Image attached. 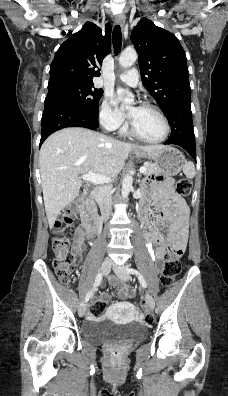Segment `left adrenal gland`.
Returning <instances> with one entry per match:
<instances>
[{"label": "left adrenal gland", "instance_id": "obj_1", "mask_svg": "<svg viewBox=\"0 0 228 396\" xmlns=\"http://www.w3.org/2000/svg\"><path fill=\"white\" fill-rule=\"evenodd\" d=\"M141 175L138 176V182H140Z\"/></svg>", "mask_w": 228, "mask_h": 396}]
</instances>
